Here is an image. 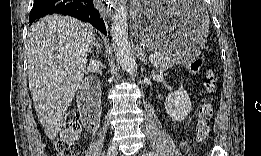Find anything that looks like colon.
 I'll use <instances>...</instances> for the list:
<instances>
[{"label":"colon","mask_w":261,"mask_h":156,"mask_svg":"<svg viewBox=\"0 0 261 156\" xmlns=\"http://www.w3.org/2000/svg\"><path fill=\"white\" fill-rule=\"evenodd\" d=\"M203 67V62L200 59L194 60L190 64V72L193 74L199 73ZM218 79L212 70H207L204 75L203 85L208 93H213L217 87ZM199 120L196 126L197 141H203L210 131V121L213 117V106L211 103H204L199 109ZM88 128H92L89 121H85ZM82 130V124L79 119V114L76 111L67 113L61 129L60 139L56 142V152L60 156H76L80 152V146L77 143Z\"/></svg>","instance_id":"obj_1"}]
</instances>
